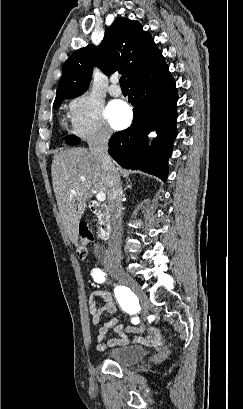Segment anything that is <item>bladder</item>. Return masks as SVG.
<instances>
[{
  "mask_svg": "<svg viewBox=\"0 0 243 409\" xmlns=\"http://www.w3.org/2000/svg\"><path fill=\"white\" fill-rule=\"evenodd\" d=\"M146 354V350L140 346L126 345L107 351L106 357L120 366H129L141 361Z\"/></svg>",
  "mask_w": 243,
  "mask_h": 409,
  "instance_id": "obj_1",
  "label": "bladder"
}]
</instances>
